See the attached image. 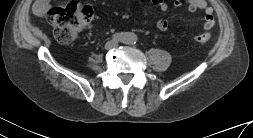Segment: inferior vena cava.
I'll return each mask as SVG.
<instances>
[{
  "label": "inferior vena cava",
  "instance_id": "inferior-vena-cava-1",
  "mask_svg": "<svg viewBox=\"0 0 253 138\" xmlns=\"http://www.w3.org/2000/svg\"><path fill=\"white\" fill-rule=\"evenodd\" d=\"M117 44L118 43L115 41H109L106 43V48H113V47L117 46Z\"/></svg>",
  "mask_w": 253,
  "mask_h": 138
}]
</instances>
